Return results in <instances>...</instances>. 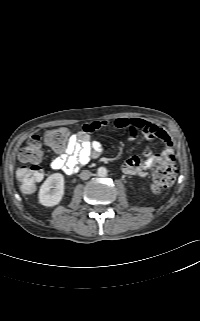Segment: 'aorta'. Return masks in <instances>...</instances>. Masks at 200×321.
Wrapping results in <instances>:
<instances>
[{
  "mask_svg": "<svg viewBox=\"0 0 200 321\" xmlns=\"http://www.w3.org/2000/svg\"><path fill=\"white\" fill-rule=\"evenodd\" d=\"M97 174L99 177H105L107 175V169L105 167H99Z\"/></svg>",
  "mask_w": 200,
  "mask_h": 321,
  "instance_id": "aorta-1",
  "label": "aorta"
}]
</instances>
